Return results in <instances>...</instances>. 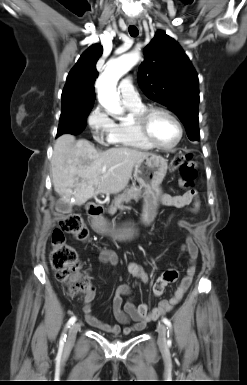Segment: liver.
I'll use <instances>...</instances> for the list:
<instances>
[{"label": "liver", "mask_w": 247, "mask_h": 385, "mask_svg": "<svg viewBox=\"0 0 247 385\" xmlns=\"http://www.w3.org/2000/svg\"><path fill=\"white\" fill-rule=\"evenodd\" d=\"M149 153L132 148L98 150L88 140L60 136L53 149L52 182L60 200L84 204L97 194H115L128 184L137 161Z\"/></svg>", "instance_id": "obj_1"}]
</instances>
